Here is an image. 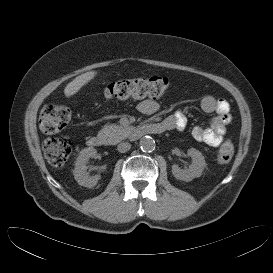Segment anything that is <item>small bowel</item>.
Instances as JSON below:
<instances>
[{"label": "small bowel", "mask_w": 273, "mask_h": 273, "mask_svg": "<svg viewBox=\"0 0 273 273\" xmlns=\"http://www.w3.org/2000/svg\"><path fill=\"white\" fill-rule=\"evenodd\" d=\"M200 105L204 112L215 113V116L207 127H194L192 135L197 141L217 148L222 144L230 122L229 103L223 98L207 95L202 98ZM138 110L146 116H152L158 112L159 105L157 102L147 99L138 104ZM162 123L167 127V130L181 132L187 126V118L182 111H177L164 119Z\"/></svg>", "instance_id": "small-bowel-1"}]
</instances>
